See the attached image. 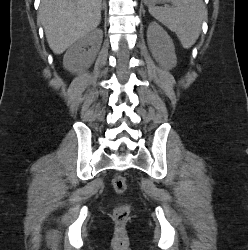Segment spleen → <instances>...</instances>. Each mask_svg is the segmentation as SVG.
<instances>
[{"instance_id":"obj_1","label":"spleen","mask_w":248,"mask_h":250,"mask_svg":"<svg viewBox=\"0 0 248 250\" xmlns=\"http://www.w3.org/2000/svg\"><path fill=\"white\" fill-rule=\"evenodd\" d=\"M172 6H149V13L175 32L182 46L189 49L197 41L206 16L202 0H169Z\"/></svg>"}]
</instances>
